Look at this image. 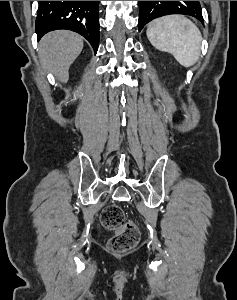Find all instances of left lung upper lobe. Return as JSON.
<instances>
[{
	"mask_svg": "<svg viewBox=\"0 0 237 300\" xmlns=\"http://www.w3.org/2000/svg\"><path fill=\"white\" fill-rule=\"evenodd\" d=\"M170 14H183L203 22L198 1H139V31L151 20Z\"/></svg>",
	"mask_w": 237,
	"mask_h": 300,
	"instance_id": "obj_1",
	"label": "left lung upper lobe"
}]
</instances>
